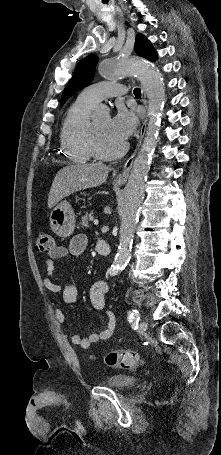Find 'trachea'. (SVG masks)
<instances>
[{"instance_id":"obj_1","label":"trachea","mask_w":221,"mask_h":455,"mask_svg":"<svg viewBox=\"0 0 221 455\" xmlns=\"http://www.w3.org/2000/svg\"><path fill=\"white\" fill-rule=\"evenodd\" d=\"M134 95H135L136 97H140V96H141V90H140V88H135V89H134Z\"/></svg>"}]
</instances>
